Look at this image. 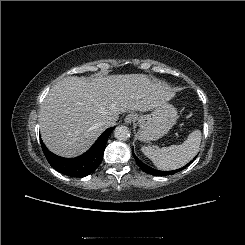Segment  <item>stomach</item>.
Returning <instances> with one entry per match:
<instances>
[{"label": "stomach", "instance_id": "0dacf381", "mask_svg": "<svg viewBox=\"0 0 245 245\" xmlns=\"http://www.w3.org/2000/svg\"><path fill=\"white\" fill-rule=\"evenodd\" d=\"M178 114L176 108L165 102L150 114L139 117L138 138L141 141H154L165 134L176 124Z\"/></svg>", "mask_w": 245, "mask_h": 245}]
</instances>
